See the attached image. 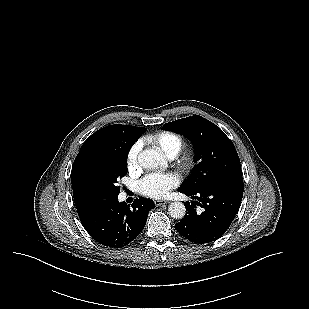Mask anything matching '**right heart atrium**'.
<instances>
[{
    "mask_svg": "<svg viewBox=\"0 0 309 309\" xmlns=\"http://www.w3.org/2000/svg\"><path fill=\"white\" fill-rule=\"evenodd\" d=\"M140 150V143H135L129 149L126 157V163L129 170H134L137 167Z\"/></svg>",
    "mask_w": 309,
    "mask_h": 309,
    "instance_id": "d8ad5b80",
    "label": "right heart atrium"
}]
</instances>
